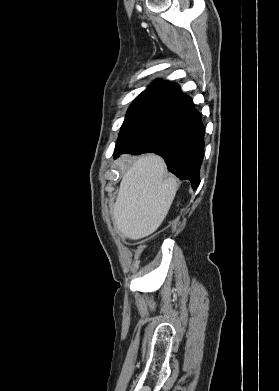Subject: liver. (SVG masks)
<instances>
[{
  "instance_id": "obj_1",
  "label": "liver",
  "mask_w": 279,
  "mask_h": 391,
  "mask_svg": "<svg viewBox=\"0 0 279 391\" xmlns=\"http://www.w3.org/2000/svg\"><path fill=\"white\" fill-rule=\"evenodd\" d=\"M129 156L118 161L123 174L112 208L114 226L121 237L138 240L154 233L166 217L177 191V181L167 174L164 160L142 156L128 166Z\"/></svg>"
}]
</instances>
